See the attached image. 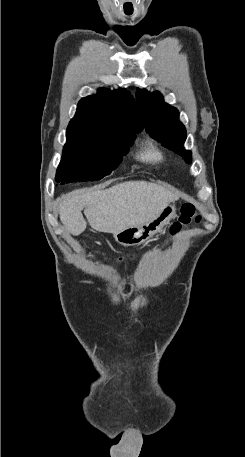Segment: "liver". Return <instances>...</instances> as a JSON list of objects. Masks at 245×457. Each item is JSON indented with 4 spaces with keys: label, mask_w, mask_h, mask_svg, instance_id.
<instances>
[{
    "label": "liver",
    "mask_w": 245,
    "mask_h": 457,
    "mask_svg": "<svg viewBox=\"0 0 245 457\" xmlns=\"http://www.w3.org/2000/svg\"><path fill=\"white\" fill-rule=\"evenodd\" d=\"M78 192L80 190H73L58 198L60 220L74 237L81 235L87 226L81 212L83 208L92 229L114 235L127 226L153 220L166 204L178 198L164 186L146 180L118 182L110 188L85 194Z\"/></svg>",
    "instance_id": "6515ba94"
}]
</instances>
